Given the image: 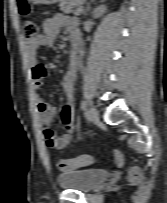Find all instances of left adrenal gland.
<instances>
[{"mask_svg": "<svg viewBox=\"0 0 167 203\" xmlns=\"http://www.w3.org/2000/svg\"><path fill=\"white\" fill-rule=\"evenodd\" d=\"M94 1V0H91ZM90 10V4L87 5V9L83 12L84 15H87V12Z\"/></svg>", "mask_w": 167, "mask_h": 203, "instance_id": "left-adrenal-gland-1", "label": "left adrenal gland"}]
</instances>
